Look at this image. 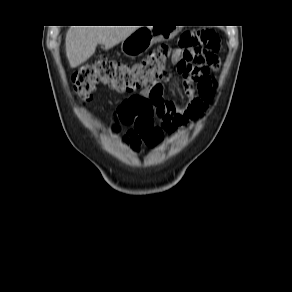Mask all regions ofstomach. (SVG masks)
I'll use <instances>...</instances> for the list:
<instances>
[{
    "label": "stomach",
    "mask_w": 292,
    "mask_h": 292,
    "mask_svg": "<svg viewBox=\"0 0 292 292\" xmlns=\"http://www.w3.org/2000/svg\"><path fill=\"white\" fill-rule=\"evenodd\" d=\"M179 29H159L155 26L140 27L122 41L124 55L134 57L147 51L156 42L173 37Z\"/></svg>",
    "instance_id": "stomach-1"
}]
</instances>
